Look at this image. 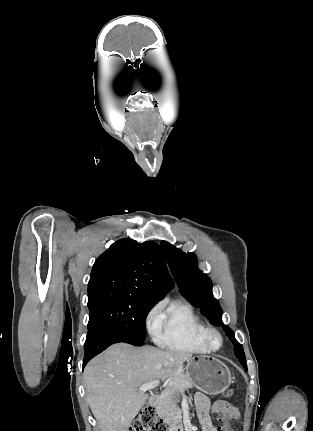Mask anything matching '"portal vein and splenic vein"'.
Listing matches in <instances>:
<instances>
[{
	"label": "portal vein and splenic vein",
	"instance_id": "18ae733b",
	"mask_svg": "<svg viewBox=\"0 0 313 431\" xmlns=\"http://www.w3.org/2000/svg\"><path fill=\"white\" fill-rule=\"evenodd\" d=\"M159 381H157V380H155V381H151V382H148V383H145V384H143L139 389H138V392L139 393H144V392H146V391H148V390H152V389H154V388H156L158 385H159Z\"/></svg>",
	"mask_w": 313,
	"mask_h": 431
}]
</instances>
